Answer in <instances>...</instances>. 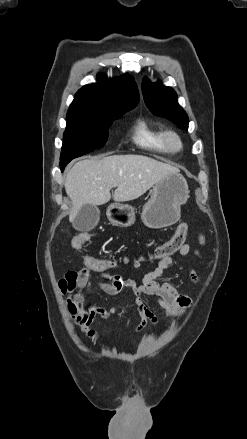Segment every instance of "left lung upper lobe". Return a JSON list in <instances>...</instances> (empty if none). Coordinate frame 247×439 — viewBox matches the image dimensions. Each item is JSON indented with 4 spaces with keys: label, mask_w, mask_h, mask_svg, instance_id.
Listing matches in <instances>:
<instances>
[{
    "label": "left lung upper lobe",
    "mask_w": 247,
    "mask_h": 439,
    "mask_svg": "<svg viewBox=\"0 0 247 439\" xmlns=\"http://www.w3.org/2000/svg\"><path fill=\"white\" fill-rule=\"evenodd\" d=\"M142 92L144 101L152 113L169 119L181 129L188 130V116L178 104L177 95L171 87L151 83L149 79L144 78Z\"/></svg>",
    "instance_id": "left-lung-upper-lobe-1"
}]
</instances>
